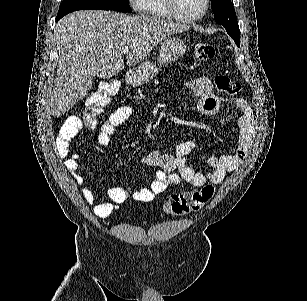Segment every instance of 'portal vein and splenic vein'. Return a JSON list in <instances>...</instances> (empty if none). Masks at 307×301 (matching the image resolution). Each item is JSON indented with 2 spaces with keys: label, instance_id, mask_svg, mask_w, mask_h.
<instances>
[{
  "label": "portal vein and splenic vein",
  "instance_id": "obj_1",
  "mask_svg": "<svg viewBox=\"0 0 307 301\" xmlns=\"http://www.w3.org/2000/svg\"><path fill=\"white\" fill-rule=\"evenodd\" d=\"M130 48L129 46H122L121 48V52H123V54H127V52H129Z\"/></svg>",
  "mask_w": 307,
  "mask_h": 301
}]
</instances>
